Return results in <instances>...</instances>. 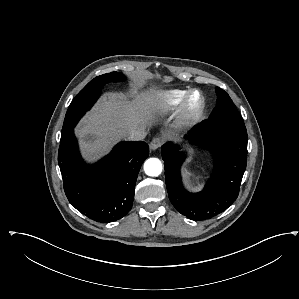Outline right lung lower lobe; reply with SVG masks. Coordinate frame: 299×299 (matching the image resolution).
Wrapping results in <instances>:
<instances>
[{
    "label": "right lung lower lobe",
    "mask_w": 299,
    "mask_h": 299,
    "mask_svg": "<svg viewBox=\"0 0 299 299\" xmlns=\"http://www.w3.org/2000/svg\"><path fill=\"white\" fill-rule=\"evenodd\" d=\"M149 155L145 142H121L99 163L86 165L74 132L61 138L58 163L69 202L97 222H113L128 213L140 167Z\"/></svg>",
    "instance_id": "obj_1"
}]
</instances>
